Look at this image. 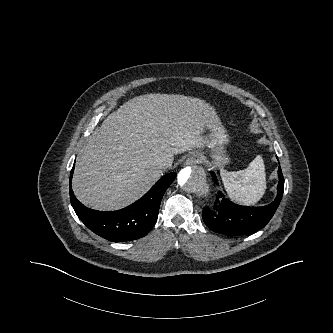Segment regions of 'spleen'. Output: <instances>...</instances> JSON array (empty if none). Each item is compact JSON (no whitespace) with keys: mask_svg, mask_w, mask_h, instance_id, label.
<instances>
[{"mask_svg":"<svg viewBox=\"0 0 333 333\" xmlns=\"http://www.w3.org/2000/svg\"><path fill=\"white\" fill-rule=\"evenodd\" d=\"M221 179L228 196L242 205H254L266 191V172L261 155L244 170L236 172L221 170Z\"/></svg>","mask_w":333,"mask_h":333,"instance_id":"3e777b00","label":"spleen"}]
</instances>
